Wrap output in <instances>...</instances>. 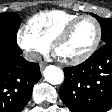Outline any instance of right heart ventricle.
<instances>
[{
  "label": "right heart ventricle",
  "mask_w": 112,
  "mask_h": 112,
  "mask_svg": "<svg viewBox=\"0 0 112 112\" xmlns=\"http://www.w3.org/2000/svg\"><path fill=\"white\" fill-rule=\"evenodd\" d=\"M79 14L65 10H50L34 15L28 21V28L47 44H51L57 34Z\"/></svg>",
  "instance_id": "obj_1"
}]
</instances>
